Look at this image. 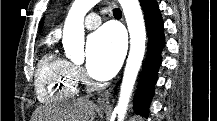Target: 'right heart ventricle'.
Segmentation results:
<instances>
[{
  "label": "right heart ventricle",
  "instance_id": "right-heart-ventricle-1",
  "mask_svg": "<svg viewBox=\"0 0 217 121\" xmlns=\"http://www.w3.org/2000/svg\"><path fill=\"white\" fill-rule=\"evenodd\" d=\"M77 83L72 63L53 52L45 54L37 65L35 90L42 103L61 102L74 96Z\"/></svg>",
  "mask_w": 217,
  "mask_h": 121
}]
</instances>
